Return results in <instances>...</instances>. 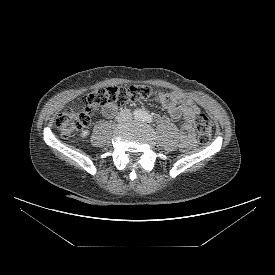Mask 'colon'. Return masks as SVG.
Returning a JSON list of instances; mask_svg holds the SVG:
<instances>
[{"label":"colon","instance_id":"obj_1","mask_svg":"<svg viewBox=\"0 0 275 275\" xmlns=\"http://www.w3.org/2000/svg\"><path fill=\"white\" fill-rule=\"evenodd\" d=\"M156 96L159 97L160 93L150 86H108L99 88L85 97V106L82 111L77 112L67 109L56 116L54 123L61 135L64 138H68L90 124L91 117L98 107H103L110 103L123 106ZM196 130L199 142L206 144L212 135V125L204 114L198 116Z\"/></svg>","mask_w":275,"mask_h":275}]
</instances>
